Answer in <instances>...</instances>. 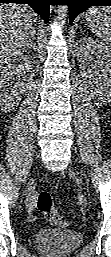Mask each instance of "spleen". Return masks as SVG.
Wrapping results in <instances>:
<instances>
[{"mask_svg": "<svg viewBox=\"0 0 111 257\" xmlns=\"http://www.w3.org/2000/svg\"><path fill=\"white\" fill-rule=\"evenodd\" d=\"M85 18L92 32L111 46V6L92 7Z\"/></svg>", "mask_w": 111, "mask_h": 257, "instance_id": "3e777b00", "label": "spleen"}]
</instances>
